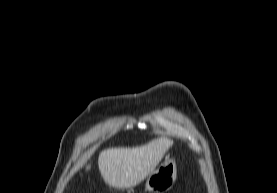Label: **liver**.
I'll return each mask as SVG.
<instances>
[{"label": "liver", "instance_id": "6515ba94", "mask_svg": "<svg viewBox=\"0 0 277 193\" xmlns=\"http://www.w3.org/2000/svg\"><path fill=\"white\" fill-rule=\"evenodd\" d=\"M173 141L158 138L135 148H109L99 154L98 165L106 184L127 189L144 180L164 157ZM90 166H87V170Z\"/></svg>", "mask_w": 277, "mask_h": 193}]
</instances>
